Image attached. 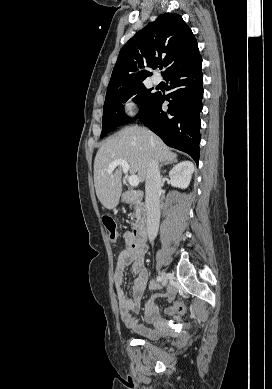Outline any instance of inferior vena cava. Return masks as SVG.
<instances>
[{"label": "inferior vena cava", "mask_w": 272, "mask_h": 389, "mask_svg": "<svg viewBox=\"0 0 272 389\" xmlns=\"http://www.w3.org/2000/svg\"><path fill=\"white\" fill-rule=\"evenodd\" d=\"M145 192L147 235L149 240L153 241L159 229L161 194V176L156 158L151 159L147 168Z\"/></svg>", "instance_id": "obj_1"}]
</instances>
